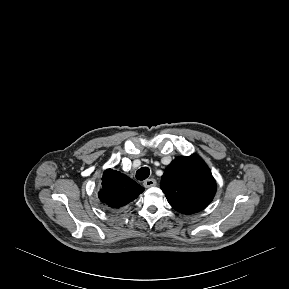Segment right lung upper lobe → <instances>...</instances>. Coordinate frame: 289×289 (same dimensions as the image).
Masks as SVG:
<instances>
[{
  "label": "right lung upper lobe",
  "mask_w": 289,
  "mask_h": 289,
  "mask_svg": "<svg viewBox=\"0 0 289 289\" xmlns=\"http://www.w3.org/2000/svg\"><path fill=\"white\" fill-rule=\"evenodd\" d=\"M144 191V188L126 175L107 169L102 177L99 199L112 208L127 205Z\"/></svg>",
  "instance_id": "right-lung-upper-lobe-1"
}]
</instances>
